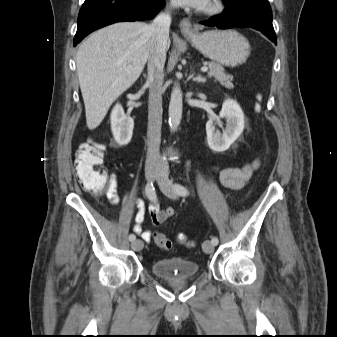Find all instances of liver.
<instances>
[{
	"mask_svg": "<svg viewBox=\"0 0 337 337\" xmlns=\"http://www.w3.org/2000/svg\"><path fill=\"white\" fill-rule=\"evenodd\" d=\"M151 39L147 24L122 22L98 30L79 46L77 74L90 130L100 125L112 103L139 78Z\"/></svg>",
	"mask_w": 337,
	"mask_h": 337,
	"instance_id": "obj_1",
	"label": "liver"
}]
</instances>
